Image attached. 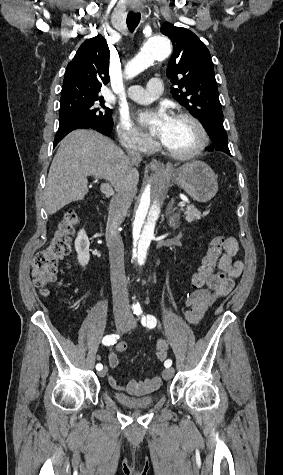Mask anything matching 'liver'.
Wrapping results in <instances>:
<instances>
[{"mask_svg": "<svg viewBox=\"0 0 283 475\" xmlns=\"http://www.w3.org/2000/svg\"><path fill=\"white\" fill-rule=\"evenodd\" d=\"M133 166L138 162H131L110 138L94 130H74L60 142L50 166L44 198L47 214L83 200L87 176L104 178L116 192L124 188L135 196L139 174Z\"/></svg>", "mask_w": 283, "mask_h": 475, "instance_id": "1", "label": "liver"}]
</instances>
